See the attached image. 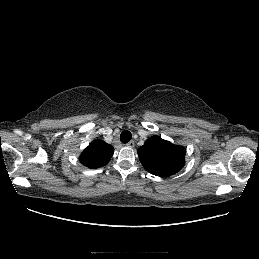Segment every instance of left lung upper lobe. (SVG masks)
Returning a JSON list of instances; mask_svg holds the SVG:
<instances>
[{"instance_id": "left-lung-upper-lobe-1", "label": "left lung upper lobe", "mask_w": 259, "mask_h": 259, "mask_svg": "<svg viewBox=\"0 0 259 259\" xmlns=\"http://www.w3.org/2000/svg\"><path fill=\"white\" fill-rule=\"evenodd\" d=\"M138 156L143 167L153 175L167 177L180 171L185 164L186 150L159 136H152L139 147Z\"/></svg>"}]
</instances>
